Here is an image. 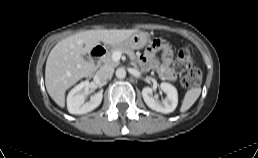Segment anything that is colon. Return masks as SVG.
I'll use <instances>...</instances> for the list:
<instances>
[{
    "instance_id": "5ec220e1",
    "label": "colon",
    "mask_w": 258,
    "mask_h": 158,
    "mask_svg": "<svg viewBox=\"0 0 258 158\" xmlns=\"http://www.w3.org/2000/svg\"><path fill=\"white\" fill-rule=\"evenodd\" d=\"M153 43L158 45L160 41L157 40ZM175 66L182 72L180 82L183 87L194 88L199 85L201 81V70L189 50L184 49L179 51Z\"/></svg>"
}]
</instances>
